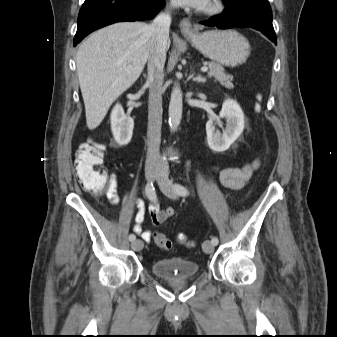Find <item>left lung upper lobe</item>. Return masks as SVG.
Wrapping results in <instances>:
<instances>
[{"mask_svg":"<svg viewBox=\"0 0 337 337\" xmlns=\"http://www.w3.org/2000/svg\"><path fill=\"white\" fill-rule=\"evenodd\" d=\"M231 1H233V0H223V2H224L225 4H228V3H230Z\"/></svg>","mask_w":337,"mask_h":337,"instance_id":"obj_1","label":"left lung upper lobe"}]
</instances>
